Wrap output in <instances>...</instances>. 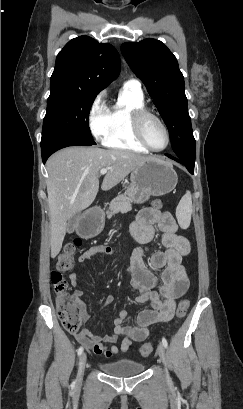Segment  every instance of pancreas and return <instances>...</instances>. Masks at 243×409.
I'll list each match as a JSON object with an SVG mask.
<instances>
[{"label":"pancreas","instance_id":"obj_1","mask_svg":"<svg viewBox=\"0 0 243 409\" xmlns=\"http://www.w3.org/2000/svg\"><path fill=\"white\" fill-rule=\"evenodd\" d=\"M109 210L107 212L108 218L112 215L121 212L125 213L132 210L131 199L127 196V194L118 195L114 198L109 204Z\"/></svg>","mask_w":243,"mask_h":409}]
</instances>
